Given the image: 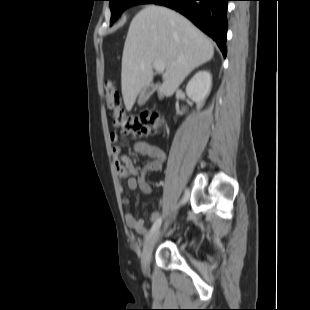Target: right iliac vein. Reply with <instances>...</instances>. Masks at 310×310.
I'll return each mask as SVG.
<instances>
[{
  "label": "right iliac vein",
  "mask_w": 310,
  "mask_h": 310,
  "mask_svg": "<svg viewBox=\"0 0 310 310\" xmlns=\"http://www.w3.org/2000/svg\"><path fill=\"white\" fill-rule=\"evenodd\" d=\"M161 235V230H157L153 233L145 242L142 255H141V265L144 273H149L150 259L153 249Z\"/></svg>",
  "instance_id": "obj_1"
}]
</instances>
